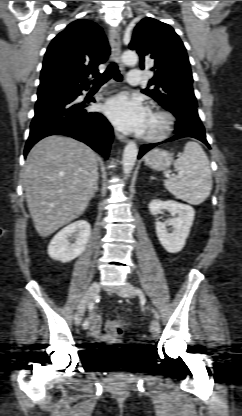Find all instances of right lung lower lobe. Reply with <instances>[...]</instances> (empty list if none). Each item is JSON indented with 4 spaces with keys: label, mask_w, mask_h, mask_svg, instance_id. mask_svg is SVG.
I'll return each instance as SVG.
<instances>
[{
    "label": "right lung lower lobe",
    "mask_w": 242,
    "mask_h": 416,
    "mask_svg": "<svg viewBox=\"0 0 242 416\" xmlns=\"http://www.w3.org/2000/svg\"><path fill=\"white\" fill-rule=\"evenodd\" d=\"M87 89L84 87L38 96L25 146V157L40 139L61 134L82 141L105 158L108 157L113 137L110 123L100 113L87 112L86 105L76 101L81 91Z\"/></svg>",
    "instance_id": "obj_1"
}]
</instances>
